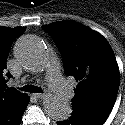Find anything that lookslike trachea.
Wrapping results in <instances>:
<instances>
[{"instance_id":"3493384b","label":"trachea","mask_w":125,"mask_h":125,"mask_svg":"<svg viewBox=\"0 0 125 125\" xmlns=\"http://www.w3.org/2000/svg\"><path fill=\"white\" fill-rule=\"evenodd\" d=\"M22 91L30 92V93H41V88L34 85H25L21 88Z\"/></svg>"}]
</instances>
